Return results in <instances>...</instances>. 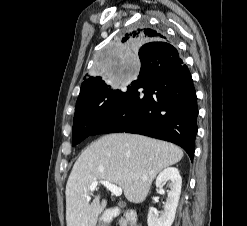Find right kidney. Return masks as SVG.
<instances>
[{
  "instance_id": "right-kidney-1",
  "label": "right kidney",
  "mask_w": 247,
  "mask_h": 226,
  "mask_svg": "<svg viewBox=\"0 0 247 226\" xmlns=\"http://www.w3.org/2000/svg\"><path fill=\"white\" fill-rule=\"evenodd\" d=\"M166 181L170 182V191L167 194L164 211L160 213L151 207L147 218L148 226H171L175 219L182 186L179 170L175 167L164 169L156 178V187L160 188Z\"/></svg>"
}]
</instances>
